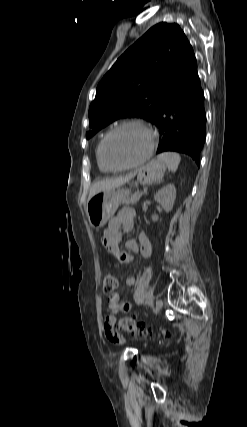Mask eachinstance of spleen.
Listing matches in <instances>:
<instances>
[{
    "mask_svg": "<svg viewBox=\"0 0 247 427\" xmlns=\"http://www.w3.org/2000/svg\"><path fill=\"white\" fill-rule=\"evenodd\" d=\"M157 161L164 163L168 167L169 171L174 173L178 169L181 157L176 152H164L158 155Z\"/></svg>",
    "mask_w": 247,
    "mask_h": 427,
    "instance_id": "1",
    "label": "spleen"
}]
</instances>
